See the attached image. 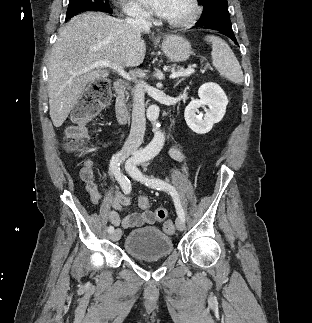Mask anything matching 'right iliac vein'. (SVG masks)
<instances>
[{
    "instance_id": "1",
    "label": "right iliac vein",
    "mask_w": 312,
    "mask_h": 323,
    "mask_svg": "<svg viewBox=\"0 0 312 323\" xmlns=\"http://www.w3.org/2000/svg\"><path fill=\"white\" fill-rule=\"evenodd\" d=\"M121 237V229L117 228L111 233V240L118 241Z\"/></svg>"
}]
</instances>
